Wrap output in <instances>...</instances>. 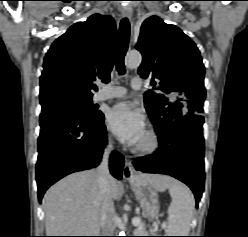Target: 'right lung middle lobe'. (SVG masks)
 <instances>
[{
  "instance_id": "1",
  "label": "right lung middle lobe",
  "mask_w": 248,
  "mask_h": 237,
  "mask_svg": "<svg viewBox=\"0 0 248 237\" xmlns=\"http://www.w3.org/2000/svg\"><path fill=\"white\" fill-rule=\"evenodd\" d=\"M42 105L45 112H70L84 117H93L100 114L92 106V99H74L68 97L57 98Z\"/></svg>"
}]
</instances>
